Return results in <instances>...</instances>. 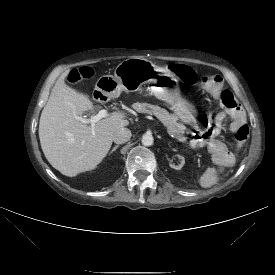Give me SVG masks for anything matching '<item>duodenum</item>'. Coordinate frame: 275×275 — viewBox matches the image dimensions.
Here are the masks:
<instances>
[{
  "label": "duodenum",
  "mask_w": 275,
  "mask_h": 275,
  "mask_svg": "<svg viewBox=\"0 0 275 275\" xmlns=\"http://www.w3.org/2000/svg\"><path fill=\"white\" fill-rule=\"evenodd\" d=\"M91 97L94 101L99 102L103 99L104 94L101 90L96 89L92 92Z\"/></svg>",
  "instance_id": "1"
}]
</instances>
